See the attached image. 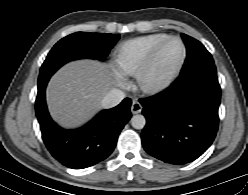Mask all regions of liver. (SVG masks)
<instances>
[{
  "instance_id": "6515ba94",
  "label": "liver",
  "mask_w": 248,
  "mask_h": 195,
  "mask_svg": "<svg viewBox=\"0 0 248 195\" xmlns=\"http://www.w3.org/2000/svg\"><path fill=\"white\" fill-rule=\"evenodd\" d=\"M114 84L109 65L95 60L70 62L49 82L46 97L50 114L63 127L80 126L97 112Z\"/></svg>"
}]
</instances>
